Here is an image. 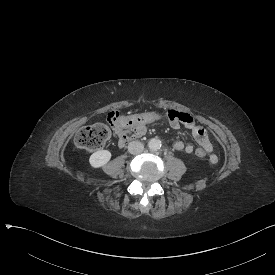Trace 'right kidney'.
Wrapping results in <instances>:
<instances>
[{"label":"right kidney","mask_w":275,"mask_h":275,"mask_svg":"<svg viewBox=\"0 0 275 275\" xmlns=\"http://www.w3.org/2000/svg\"><path fill=\"white\" fill-rule=\"evenodd\" d=\"M110 158L111 153L108 150H100L90 156L89 162L92 167L99 168L107 164Z\"/></svg>","instance_id":"right-kidney-1"}]
</instances>
